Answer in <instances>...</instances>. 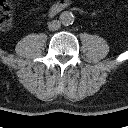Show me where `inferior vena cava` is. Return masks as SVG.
Masks as SVG:
<instances>
[{"label":"inferior vena cava","instance_id":"602c4592","mask_svg":"<svg viewBox=\"0 0 128 128\" xmlns=\"http://www.w3.org/2000/svg\"><path fill=\"white\" fill-rule=\"evenodd\" d=\"M61 26V23L59 20H53L51 22H49L48 24V28L51 30V31H55V30H58Z\"/></svg>","mask_w":128,"mask_h":128}]
</instances>
